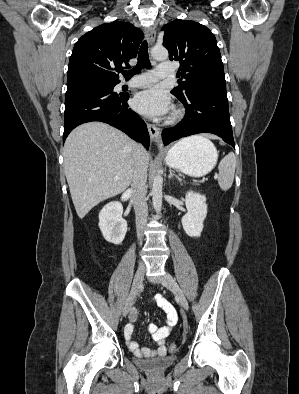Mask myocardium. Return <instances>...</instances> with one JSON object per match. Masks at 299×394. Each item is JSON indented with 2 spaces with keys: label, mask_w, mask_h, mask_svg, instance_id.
Instances as JSON below:
<instances>
[{
  "label": "myocardium",
  "mask_w": 299,
  "mask_h": 394,
  "mask_svg": "<svg viewBox=\"0 0 299 394\" xmlns=\"http://www.w3.org/2000/svg\"><path fill=\"white\" fill-rule=\"evenodd\" d=\"M178 117H180V112H179V111L175 112V114L173 115V118H174V119H176V118H178Z\"/></svg>",
  "instance_id": "myocardium-1"
}]
</instances>
